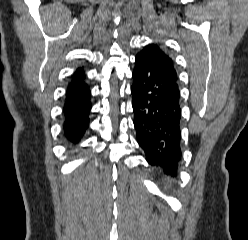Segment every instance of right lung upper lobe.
<instances>
[{
  "mask_svg": "<svg viewBox=\"0 0 248 240\" xmlns=\"http://www.w3.org/2000/svg\"><path fill=\"white\" fill-rule=\"evenodd\" d=\"M82 71V68H78L75 73Z\"/></svg>",
  "mask_w": 248,
  "mask_h": 240,
  "instance_id": "1",
  "label": "right lung upper lobe"
}]
</instances>
